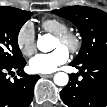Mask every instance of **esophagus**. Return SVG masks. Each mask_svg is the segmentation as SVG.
<instances>
[{"label": "esophagus", "mask_w": 107, "mask_h": 107, "mask_svg": "<svg viewBox=\"0 0 107 107\" xmlns=\"http://www.w3.org/2000/svg\"><path fill=\"white\" fill-rule=\"evenodd\" d=\"M40 76L43 78H50L53 77V74H41Z\"/></svg>", "instance_id": "obj_1"}]
</instances>
